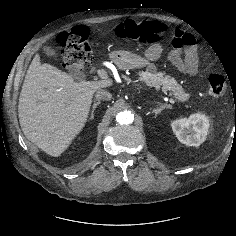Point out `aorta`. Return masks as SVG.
<instances>
[{"mask_svg":"<svg viewBox=\"0 0 236 236\" xmlns=\"http://www.w3.org/2000/svg\"><path fill=\"white\" fill-rule=\"evenodd\" d=\"M133 120L134 115L130 111H122L116 115V121L120 125H129Z\"/></svg>","mask_w":236,"mask_h":236,"instance_id":"762f6f07","label":"aorta"}]
</instances>
